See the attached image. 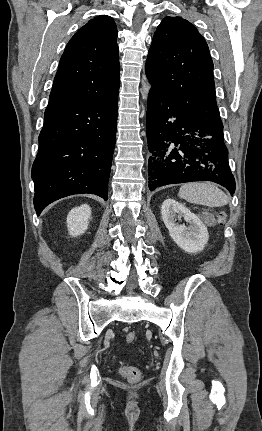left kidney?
<instances>
[{
  "mask_svg": "<svg viewBox=\"0 0 262 431\" xmlns=\"http://www.w3.org/2000/svg\"><path fill=\"white\" fill-rule=\"evenodd\" d=\"M162 219L169 230L173 241L187 253H198L202 251L208 242L209 235L206 226L198 216L193 214L183 205L175 200L166 199L161 206ZM189 223H177L181 218Z\"/></svg>",
  "mask_w": 262,
  "mask_h": 431,
  "instance_id": "1",
  "label": "left kidney"
}]
</instances>
